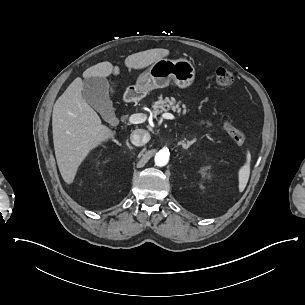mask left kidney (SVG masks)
Listing matches in <instances>:
<instances>
[{
	"label": "left kidney",
	"mask_w": 305,
	"mask_h": 305,
	"mask_svg": "<svg viewBox=\"0 0 305 305\" xmlns=\"http://www.w3.org/2000/svg\"><path fill=\"white\" fill-rule=\"evenodd\" d=\"M206 170V168L204 167V168H202V171H205Z\"/></svg>",
	"instance_id": "left-kidney-1"
}]
</instances>
